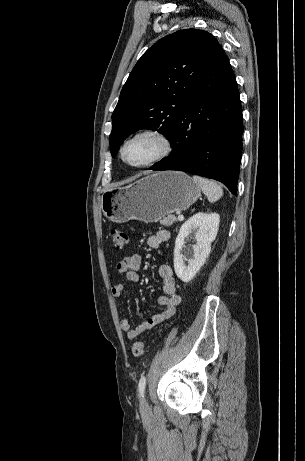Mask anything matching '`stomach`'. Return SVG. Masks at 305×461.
Instances as JSON below:
<instances>
[{"mask_svg": "<svg viewBox=\"0 0 305 461\" xmlns=\"http://www.w3.org/2000/svg\"><path fill=\"white\" fill-rule=\"evenodd\" d=\"M200 194V186L187 174L163 171L104 192L101 209L104 216L115 223L132 219L156 222L165 215L186 210Z\"/></svg>", "mask_w": 305, "mask_h": 461, "instance_id": "0dacf381", "label": "stomach"}]
</instances>
